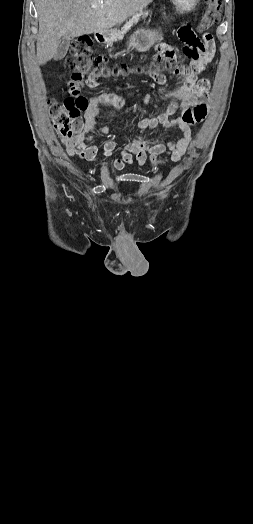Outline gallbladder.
I'll list each match as a JSON object with an SVG mask.
<instances>
[{
    "label": "gallbladder",
    "instance_id": "obj_1",
    "mask_svg": "<svg viewBox=\"0 0 253 524\" xmlns=\"http://www.w3.org/2000/svg\"><path fill=\"white\" fill-rule=\"evenodd\" d=\"M69 45H70V38L62 39L54 55L55 61H59L65 57L68 51Z\"/></svg>",
    "mask_w": 253,
    "mask_h": 524
}]
</instances>
